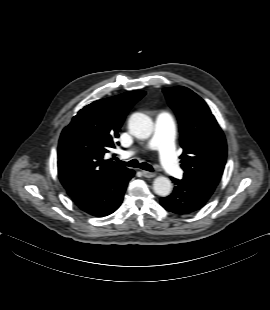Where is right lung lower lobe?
I'll use <instances>...</instances> for the list:
<instances>
[{
    "label": "right lung lower lobe",
    "mask_w": 270,
    "mask_h": 310,
    "mask_svg": "<svg viewBox=\"0 0 270 310\" xmlns=\"http://www.w3.org/2000/svg\"><path fill=\"white\" fill-rule=\"evenodd\" d=\"M134 174L133 170L125 168L92 184L66 190L82 211L92 216L103 217L119 208L127 184Z\"/></svg>",
    "instance_id": "right-lung-lower-lobe-1"
}]
</instances>
